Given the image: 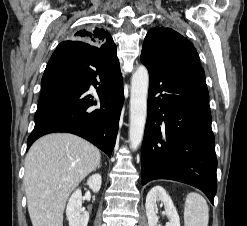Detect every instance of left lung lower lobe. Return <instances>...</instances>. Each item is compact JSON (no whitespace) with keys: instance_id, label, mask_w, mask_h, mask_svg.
Listing matches in <instances>:
<instances>
[{"instance_id":"left-lung-lower-lobe-1","label":"left lung lower lobe","mask_w":247,"mask_h":226,"mask_svg":"<svg viewBox=\"0 0 247 226\" xmlns=\"http://www.w3.org/2000/svg\"><path fill=\"white\" fill-rule=\"evenodd\" d=\"M141 60L150 77L142 185L154 179L183 182L202 190L213 204L217 159L203 68Z\"/></svg>"}]
</instances>
